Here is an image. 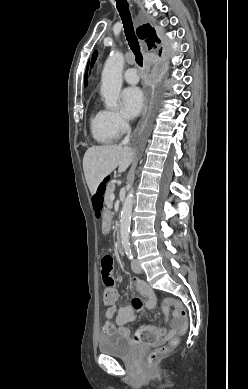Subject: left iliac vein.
<instances>
[{
	"label": "left iliac vein",
	"mask_w": 248,
	"mask_h": 389,
	"mask_svg": "<svg viewBox=\"0 0 248 389\" xmlns=\"http://www.w3.org/2000/svg\"><path fill=\"white\" fill-rule=\"evenodd\" d=\"M131 268L133 270L134 273H141V267L139 265V262L136 260V259H133L131 261Z\"/></svg>",
	"instance_id": "1"
}]
</instances>
